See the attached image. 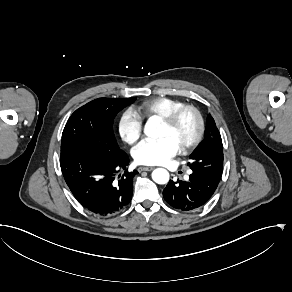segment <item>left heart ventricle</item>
<instances>
[{
	"label": "left heart ventricle",
	"mask_w": 292,
	"mask_h": 292,
	"mask_svg": "<svg viewBox=\"0 0 292 292\" xmlns=\"http://www.w3.org/2000/svg\"><path fill=\"white\" fill-rule=\"evenodd\" d=\"M196 128V120L192 113L185 112L174 127H169L162 122L161 136H171L179 145L188 141L194 135Z\"/></svg>",
	"instance_id": "obj_1"
}]
</instances>
